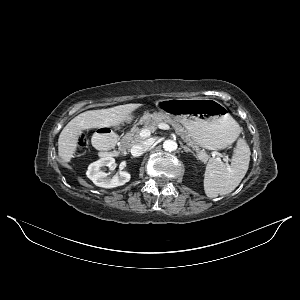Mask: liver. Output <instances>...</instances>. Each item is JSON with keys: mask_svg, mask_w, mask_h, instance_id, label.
Listing matches in <instances>:
<instances>
[{"mask_svg": "<svg viewBox=\"0 0 300 300\" xmlns=\"http://www.w3.org/2000/svg\"><path fill=\"white\" fill-rule=\"evenodd\" d=\"M140 106V104H126L108 109L90 110L73 118L64 127L58 139V155L62 163L66 165L74 157L79 137L84 130L118 126Z\"/></svg>", "mask_w": 300, "mask_h": 300, "instance_id": "liver-1", "label": "liver"}]
</instances>
